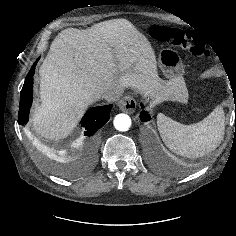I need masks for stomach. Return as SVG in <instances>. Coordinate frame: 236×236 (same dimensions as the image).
I'll return each instance as SVG.
<instances>
[{
    "label": "stomach",
    "mask_w": 236,
    "mask_h": 236,
    "mask_svg": "<svg viewBox=\"0 0 236 236\" xmlns=\"http://www.w3.org/2000/svg\"><path fill=\"white\" fill-rule=\"evenodd\" d=\"M157 61L166 78L167 88L179 90L182 98L187 99V90L183 82L184 66L179 54L173 49L163 48L158 53ZM155 100L164 101L163 96L155 97Z\"/></svg>",
    "instance_id": "obj_1"
}]
</instances>
